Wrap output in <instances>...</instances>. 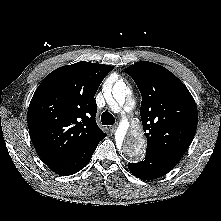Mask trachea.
Returning a JSON list of instances; mask_svg holds the SVG:
<instances>
[{
  "label": "trachea",
  "instance_id": "trachea-1",
  "mask_svg": "<svg viewBox=\"0 0 221 221\" xmlns=\"http://www.w3.org/2000/svg\"><path fill=\"white\" fill-rule=\"evenodd\" d=\"M101 121L103 125H113L115 123V118L113 117L112 114L105 111L101 115Z\"/></svg>",
  "mask_w": 221,
  "mask_h": 221
}]
</instances>
